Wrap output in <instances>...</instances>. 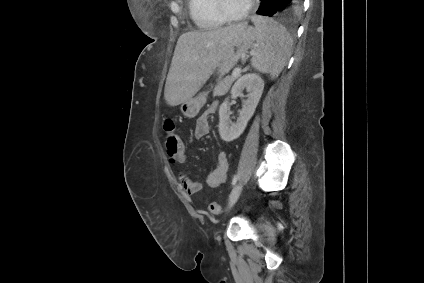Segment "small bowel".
<instances>
[{"label":"small bowel","mask_w":424,"mask_h":283,"mask_svg":"<svg viewBox=\"0 0 424 283\" xmlns=\"http://www.w3.org/2000/svg\"><path fill=\"white\" fill-rule=\"evenodd\" d=\"M218 108V103L213 102L204 113L197 119L194 136L200 139L209 133V116L213 114ZM168 157L172 163H183L185 159L184 147L182 153L170 155L171 147L166 145ZM229 170V159L228 155L224 151H220L217 155V162L214 168H212L206 175V183L209 187L214 188L223 184L227 180ZM177 180L183 190L189 194L194 195L202 189V184L191 178L188 173L184 170H178L176 173Z\"/></svg>","instance_id":"1"}]
</instances>
